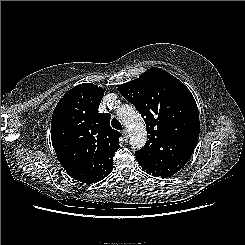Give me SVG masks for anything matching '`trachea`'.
<instances>
[{"mask_svg": "<svg viewBox=\"0 0 245 245\" xmlns=\"http://www.w3.org/2000/svg\"><path fill=\"white\" fill-rule=\"evenodd\" d=\"M111 125L113 128H115L116 130H121L122 129V125L120 123V121L116 118H113L111 121Z\"/></svg>", "mask_w": 245, "mask_h": 245, "instance_id": "obj_1", "label": "trachea"}]
</instances>
